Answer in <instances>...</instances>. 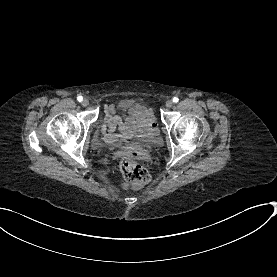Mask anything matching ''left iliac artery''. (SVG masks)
<instances>
[{
	"mask_svg": "<svg viewBox=\"0 0 277 277\" xmlns=\"http://www.w3.org/2000/svg\"><path fill=\"white\" fill-rule=\"evenodd\" d=\"M178 101H179V99H178L177 97H174V98H173V102H174V103H177Z\"/></svg>",
	"mask_w": 277,
	"mask_h": 277,
	"instance_id": "obj_1",
	"label": "left iliac artery"
}]
</instances>
